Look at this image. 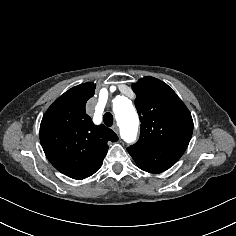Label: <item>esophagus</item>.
<instances>
[{"mask_svg": "<svg viewBox=\"0 0 236 236\" xmlns=\"http://www.w3.org/2000/svg\"><path fill=\"white\" fill-rule=\"evenodd\" d=\"M112 129H113V131H114L116 134H118L119 129H118V127H117L116 124H114V125L112 126Z\"/></svg>", "mask_w": 236, "mask_h": 236, "instance_id": "34e87169", "label": "esophagus"}]
</instances>
